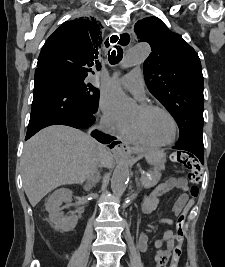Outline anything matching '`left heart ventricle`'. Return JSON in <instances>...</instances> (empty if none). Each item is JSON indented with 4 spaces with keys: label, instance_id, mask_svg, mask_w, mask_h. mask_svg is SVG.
Listing matches in <instances>:
<instances>
[{
    "label": "left heart ventricle",
    "instance_id": "b2bd125f",
    "mask_svg": "<svg viewBox=\"0 0 225 267\" xmlns=\"http://www.w3.org/2000/svg\"><path fill=\"white\" fill-rule=\"evenodd\" d=\"M132 121L141 122L154 142L165 143L174 136V125L171 119L160 111L144 113L140 107L132 116Z\"/></svg>",
    "mask_w": 225,
    "mask_h": 267
}]
</instances>
